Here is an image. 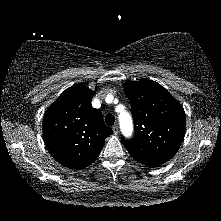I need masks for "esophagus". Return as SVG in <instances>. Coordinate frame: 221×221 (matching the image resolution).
<instances>
[{"instance_id": "obj_1", "label": "esophagus", "mask_w": 221, "mask_h": 221, "mask_svg": "<svg viewBox=\"0 0 221 221\" xmlns=\"http://www.w3.org/2000/svg\"><path fill=\"white\" fill-rule=\"evenodd\" d=\"M112 130H113V133H114L115 135H117V134L119 133V127H118L117 125H114V126L112 127Z\"/></svg>"}]
</instances>
